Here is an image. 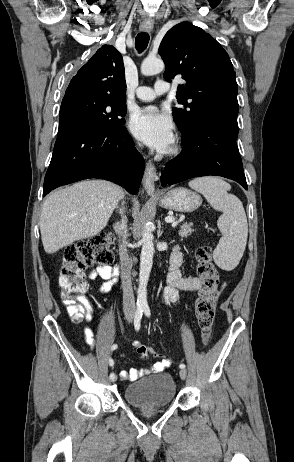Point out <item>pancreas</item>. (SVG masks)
I'll return each mask as SVG.
<instances>
[{
	"instance_id": "cf45deb5",
	"label": "pancreas",
	"mask_w": 294,
	"mask_h": 462,
	"mask_svg": "<svg viewBox=\"0 0 294 462\" xmlns=\"http://www.w3.org/2000/svg\"><path fill=\"white\" fill-rule=\"evenodd\" d=\"M194 230L192 229V225L188 223H184L179 230V235L182 237L189 236Z\"/></svg>"
}]
</instances>
